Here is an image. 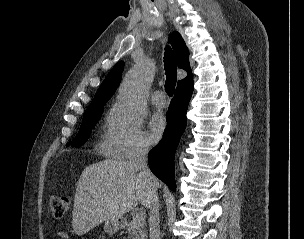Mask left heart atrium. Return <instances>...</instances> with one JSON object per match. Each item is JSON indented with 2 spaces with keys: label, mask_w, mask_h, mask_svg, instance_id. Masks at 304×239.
I'll return each instance as SVG.
<instances>
[{
  "label": "left heart atrium",
  "mask_w": 304,
  "mask_h": 239,
  "mask_svg": "<svg viewBox=\"0 0 304 239\" xmlns=\"http://www.w3.org/2000/svg\"><path fill=\"white\" fill-rule=\"evenodd\" d=\"M166 125V118L162 113L157 112L151 117L149 122V139L152 143H156L161 139Z\"/></svg>",
  "instance_id": "left-heart-atrium-1"
}]
</instances>
